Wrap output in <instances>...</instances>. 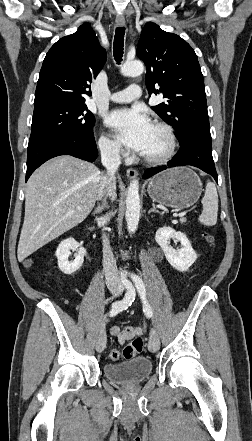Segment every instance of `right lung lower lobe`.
<instances>
[{"mask_svg":"<svg viewBox=\"0 0 252 441\" xmlns=\"http://www.w3.org/2000/svg\"><path fill=\"white\" fill-rule=\"evenodd\" d=\"M60 155H71L89 162L94 161L98 156V151L93 133L89 136L42 135L29 139L26 181L45 161Z\"/></svg>","mask_w":252,"mask_h":441,"instance_id":"98d812e1","label":"right lung lower lobe"}]
</instances>
